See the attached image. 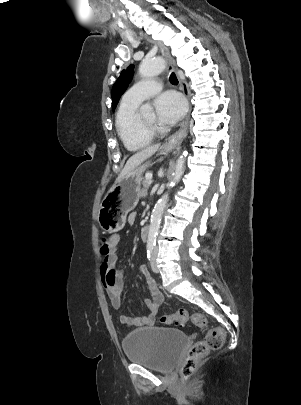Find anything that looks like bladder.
I'll use <instances>...</instances> for the list:
<instances>
[{
  "label": "bladder",
  "instance_id": "31cf9c89",
  "mask_svg": "<svg viewBox=\"0 0 301 405\" xmlns=\"http://www.w3.org/2000/svg\"><path fill=\"white\" fill-rule=\"evenodd\" d=\"M188 343L174 328L146 327L128 333L123 350L128 361L158 372L171 371Z\"/></svg>",
  "mask_w": 301,
  "mask_h": 405
}]
</instances>
